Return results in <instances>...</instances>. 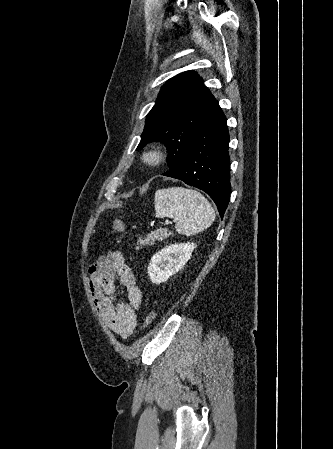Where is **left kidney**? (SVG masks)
<instances>
[{
	"mask_svg": "<svg viewBox=\"0 0 333 449\" xmlns=\"http://www.w3.org/2000/svg\"><path fill=\"white\" fill-rule=\"evenodd\" d=\"M196 248L194 243H180L166 246L151 258L148 275L152 283L160 284L178 272L190 259Z\"/></svg>",
	"mask_w": 333,
	"mask_h": 449,
	"instance_id": "left-kidney-1",
	"label": "left kidney"
}]
</instances>
